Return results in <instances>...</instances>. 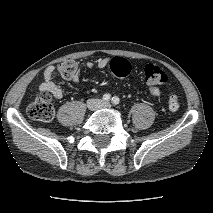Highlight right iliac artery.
Here are the masks:
<instances>
[{
  "instance_id": "1",
  "label": "right iliac artery",
  "mask_w": 213,
  "mask_h": 213,
  "mask_svg": "<svg viewBox=\"0 0 213 213\" xmlns=\"http://www.w3.org/2000/svg\"><path fill=\"white\" fill-rule=\"evenodd\" d=\"M111 99V95L110 94H104L103 95V100L104 101H109Z\"/></svg>"
}]
</instances>
